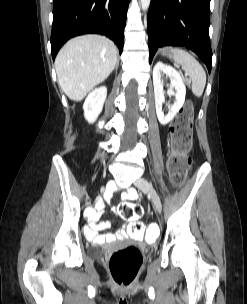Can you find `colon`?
<instances>
[{"label":"colon","instance_id":"1","mask_svg":"<svg viewBox=\"0 0 247 304\" xmlns=\"http://www.w3.org/2000/svg\"><path fill=\"white\" fill-rule=\"evenodd\" d=\"M192 124L193 105L187 102L170 126L171 152L167 161V171L175 186L184 183L190 168ZM118 213L130 221L128 234L131 235V241H141L145 234H148L149 238H160L159 224H146L143 228L138 221L143 215V209L139 204L121 203L118 206ZM143 246H154V239H143ZM142 262V251L136 245H128L114 251L109 259V269L115 283L122 287L129 286L134 281Z\"/></svg>","mask_w":247,"mask_h":304}]
</instances>
